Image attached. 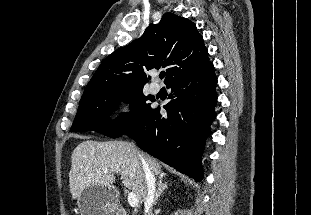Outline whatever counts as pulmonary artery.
Segmentation results:
<instances>
[{"label":"pulmonary artery","instance_id":"obj_1","mask_svg":"<svg viewBox=\"0 0 311 215\" xmlns=\"http://www.w3.org/2000/svg\"><path fill=\"white\" fill-rule=\"evenodd\" d=\"M150 90L153 94H157L160 90V87L157 84H152L150 86Z\"/></svg>","mask_w":311,"mask_h":215}]
</instances>
